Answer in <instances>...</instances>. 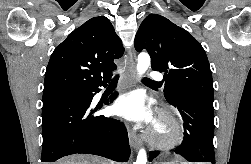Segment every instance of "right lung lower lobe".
I'll return each mask as SVG.
<instances>
[{"instance_id":"98d812e1","label":"right lung lower lobe","mask_w":251,"mask_h":164,"mask_svg":"<svg viewBox=\"0 0 251 164\" xmlns=\"http://www.w3.org/2000/svg\"><path fill=\"white\" fill-rule=\"evenodd\" d=\"M108 82L81 88L75 96L43 101L41 162H54L76 153L128 161L130 146L124 125L117 119L94 116L96 109L90 108L95 93L100 91L99 86L105 87Z\"/></svg>"}]
</instances>
